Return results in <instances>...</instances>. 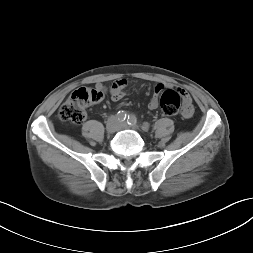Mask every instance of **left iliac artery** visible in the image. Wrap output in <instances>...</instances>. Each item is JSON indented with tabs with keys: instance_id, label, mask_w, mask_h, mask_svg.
I'll list each match as a JSON object with an SVG mask.
<instances>
[{
	"instance_id": "obj_1",
	"label": "left iliac artery",
	"mask_w": 253,
	"mask_h": 253,
	"mask_svg": "<svg viewBox=\"0 0 253 253\" xmlns=\"http://www.w3.org/2000/svg\"><path fill=\"white\" fill-rule=\"evenodd\" d=\"M127 122H128L129 125L135 126L137 124V118H136V116L133 115V114L128 115ZM148 128H149L148 123H145L143 125V129L144 130H148Z\"/></svg>"
}]
</instances>
